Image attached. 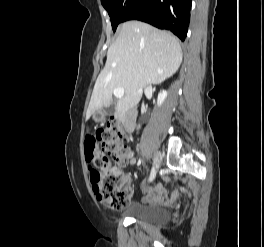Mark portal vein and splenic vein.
Segmentation results:
<instances>
[{
  "mask_svg": "<svg viewBox=\"0 0 264 247\" xmlns=\"http://www.w3.org/2000/svg\"><path fill=\"white\" fill-rule=\"evenodd\" d=\"M113 94L117 98H122L124 96V89L121 87L113 89Z\"/></svg>",
  "mask_w": 264,
  "mask_h": 247,
  "instance_id": "1",
  "label": "portal vein and splenic vein"
}]
</instances>
